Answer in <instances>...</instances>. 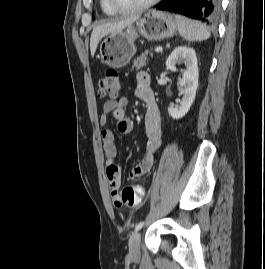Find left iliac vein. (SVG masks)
Masks as SVG:
<instances>
[{"instance_id": "left-iliac-vein-1", "label": "left iliac vein", "mask_w": 265, "mask_h": 269, "mask_svg": "<svg viewBox=\"0 0 265 269\" xmlns=\"http://www.w3.org/2000/svg\"><path fill=\"white\" fill-rule=\"evenodd\" d=\"M141 233L136 231L129 240V256L132 259H138L140 256Z\"/></svg>"}]
</instances>
